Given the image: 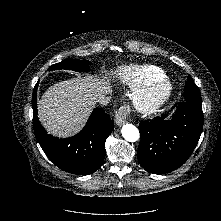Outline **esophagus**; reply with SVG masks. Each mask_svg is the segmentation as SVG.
Masks as SVG:
<instances>
[{
    "label": "esophagus",
    "instance_id": "34e87169",
    "mask_svg": "<svg viewBox=\"0 0 221 221\" xmlns=\"http://www.w3.org/2000/svg\"><path fill=\"white\" fill-rule=\"evenodd\" d=\"M130 113V109L128 106H121L116 112L115 121L118 126H121L126 123L128 114Z\"/></svg>",
    "mask_w": 221,
    "mask_h": 221
}]
</instances>
